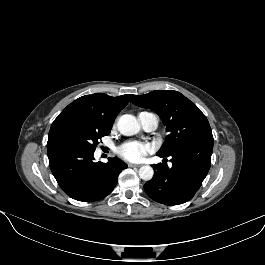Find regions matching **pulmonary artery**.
I'll list each match as a JSON object with an SVG mask.
<instances>
[{"mask_svg": "<svg viewBox=\"0 0 265 265\" xmlns=\"http://www.w3.org/2000/svg\"><path fill=\"white\" fill-rule=\"evenodd\" d=\"M138 119L142 128L146 132H151L155 130L157 127L158 124L157 117L152 113L142 112L139 114Z\"/></svg>", "mask_w": 265, "mask_h": 265, "instance_id": "e3ab8cb5", "label": "pulmonary artery"}]
</instances>
